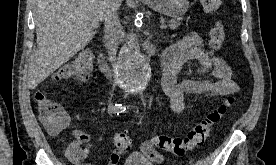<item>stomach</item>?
<instances>
[{"label": "stomach", "instance_id": "obj_1", "mask_svg": "<svg viewBox=\"0 0 276 165\" xmlns=\"http://www.w3.org/2000/svg\"><path fill=\"white\" fill-rule=\"evenodd\" d=\"M144 2L152 9L170 16H182L188 9L187 0H144Z\"/></svg>", "mask_w": 276, "mask_h": 165}]
</instances>
